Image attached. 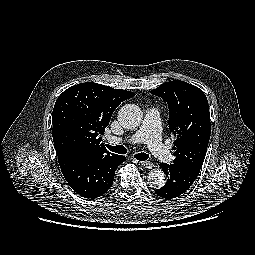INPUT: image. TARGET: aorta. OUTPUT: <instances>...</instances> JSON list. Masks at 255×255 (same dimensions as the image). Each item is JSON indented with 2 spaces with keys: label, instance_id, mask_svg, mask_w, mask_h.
Wrapping results in <instances>:
<instances>
[{
  "label": "aorta",
  "instance_id": "1",
  "mask_svg": "<svg viewBox=\"0 0 255 255\" xmlns=\"http://www.w3.org/2000/svg\"><path fill=\"white\" fill-rule=\"evenodd\" d=\"M143 119V113L139 106L135 104H126L118 112V121L125 129H135ZM165 173L159 169H152L148 176V184L154 189L162 188L166 183Z\"/></svg>",
  "mask_w": 255,
  "mask_h": 255
}]
</instances>
